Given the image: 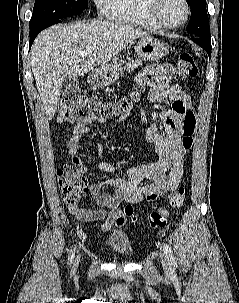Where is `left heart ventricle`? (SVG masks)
Segmentation results:
<instances>
[{"mask_svg": "<svg viewBox=\"0 0 239 303\" xmlns=\"http://www.w3.org/2000/svg\"><path fill=\"white\" fill-rule=\"evenodd\" d=\"M158 13L164 22L178 24L185 17L184 4L182 0H160Z\"/></svg>", "mask_w": 239, "mask_h": 303, "instance_id": "obj_1", "label": "left heart ventricle"}]
</instances>
